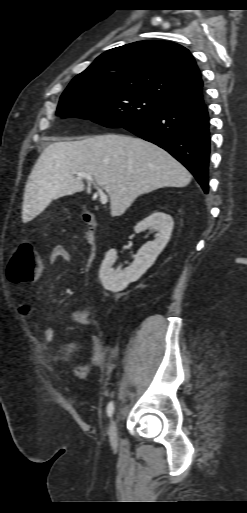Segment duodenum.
Listing matches in <instances>:
<instances>
[{
	"label": "duodenum",
	"instance_id": "410a0bca",
	"mask_svg": "<svg viewBox=\"0 0 247 513\" xmlns=\"http://www.w3.org/2000/svg\"><path fill=\"white\" fill-rule=\"evenodd\" d=\"M82 221L84 225L87 227V242L90 246L89 258L93 262L97 256V248H96V227L97 222L95 215L89 211H84L82 213Z\"/></svg>",
	"mask_w": 247,
	"mask_h": 513
}]
</instances>
